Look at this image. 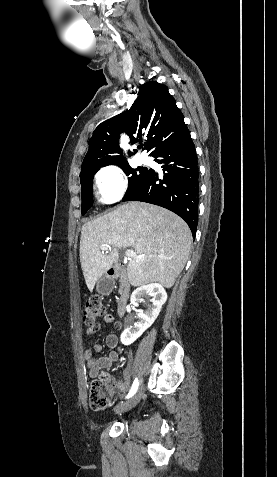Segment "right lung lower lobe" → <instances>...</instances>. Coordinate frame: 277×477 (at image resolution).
Returning a JSON list of instances; mask_svg holds the SVG:
<instances>
[{
  "label": "right lung lower lobe",
  "mask_w": 277,
  "mask_h": 477,
  "mask_svg": "<svg viewBox=\"0 0 277 477\" xmlns=\"http://www.w3.org/2000/svg\"><path fill=\"white\" fill-rule=\"evenodd\" d=\"M162 165L163 175L153 169L123 201H143L167 208L190 227L193 238L198 225L199 172L195 147L186 129L176 140L152 155Z\"/></svg>",
  "instance_id": "right-lung-lower-lobe-1"
}]
</instances>
